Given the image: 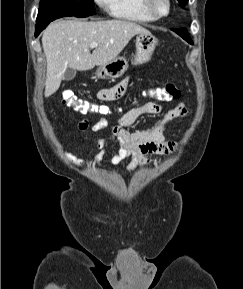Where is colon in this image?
<instances>
[{"instance_id": "obj_1", "label": "colon", "mask_w": 243, "mask_h": 289, "mask_svg": "<svg viewBox=\"0 0 243 289\" xmlns=\"http://www.w3.org/2000/svg\"><path fill=\"white\" fill-rule=\"evenodd\" d=\"M148 94L160 102H171L181 96V91L177 84L170 82L162 87L149 90ZM62 102L67 106H72L76 111L86 115L107 114L108 108L86 99L78 98L72 90L62 92Z\"/></svg>"}]
</instances>
